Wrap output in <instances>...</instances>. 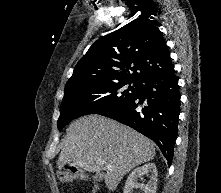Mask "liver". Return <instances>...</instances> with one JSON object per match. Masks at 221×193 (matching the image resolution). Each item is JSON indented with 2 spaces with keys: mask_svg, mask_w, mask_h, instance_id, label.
Instances as JSON below:
<instances>
[{
  "mask_svg": "<svg viewBox=\"0 0 221 193\" xmlns=\"http://www.w3.org/2000/svg\"><path fill=\"white\" fill-rule=\"evenodd\" d=\"M155 154L154 143L136 130L110 118L89 115L70 124L57 165L62 169L72 164L96 172L103 176L107 188L114 191L127 173L152 160ZM107 165L112 170H107Z\"/></svg>",
  "mask_w": 221,
  "mask_h": 193,
  "instance_id": "6515ba94",
  "label": "liver"
}]
</instances>
